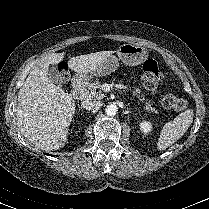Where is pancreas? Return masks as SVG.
<instances>
[{"label": "pancreas", "instance_id": "cf45deb5", "mask_svg": "<svg viewBox=\"0 0 209 209\" xmlns=\"http://www.w3.org/2000/svg\"><path fill=\"white\" fill-rule=\"evenodd\" d=\"M101 87H102V85L98 80L91 83L88 87V90H86V92H85V99H87V100H100V99L104 98L105 94L102 93ZM133 95L140 98L141 101H144V98H141L143 96H140V89L135 88L134 91H133ZM144 108L147 111L157 113L156 109L154 107H152V103L150 101L145 103Z\"/></svg>", "mask_w": 209, "mask_h": 209}]
</instances>
